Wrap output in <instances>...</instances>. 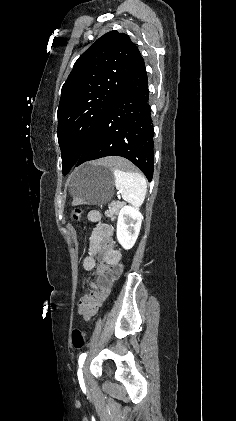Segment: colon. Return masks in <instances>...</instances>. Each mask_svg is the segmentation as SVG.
I'll use <instances>...</instances> for the list:
<instances>
[{
    "instance_id": "1",
    "label": "colon",
    "mask_w": 236,
    "mask_h": 421,
    "mask_svg": "<svg viewBox=\"0 0 236 421\" xmlns=\"http://www.w3.org/2000/svg\"><path fill=\"white\" fill-rule=\"evenodd\" d=\"M83 209L81 207H74L70 212V217L74 221H79L82 218ZM86 342V333L80 329H74L71 333V344L75 349H81Z\"/></svg>"
}]
</instances>
